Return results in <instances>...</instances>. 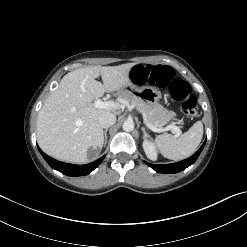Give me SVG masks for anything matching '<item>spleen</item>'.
Segmentation results:
<instances>
[{"mask_svg":"<svg viewBox=\"0 0 247 247\" xmlns=\"http://www.w3.org/2000/svg\"><path fill=\"white\" fill-rule=\"evenodd\" d=\"M203 136V124L197 121L181 137L160 135L155 142L160 153L171 160H181L191 156L198 148Z\"/></svg>","mask_w":247,"mask_h":247,"instance_id":"obj_1","label":"spleen"}]
</instances>
